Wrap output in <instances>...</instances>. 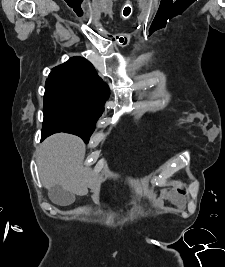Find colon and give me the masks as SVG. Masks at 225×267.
Instances as JSON below:
<instances>
[{
	"label": "colon",
	"mask_w": 225,
	"mask_h": 267,
	"mask_svg": "<svg viewBox=\"0 0 225 267\" xmlns=\"http://www.w3.org/2000/svg\"><path fill=\"white\" fill-rule=\"evenodd\" d=\"M125 8H126L125 14H129L130 15V13H131V6L130 5H126Z\"/></svg>",
	"instance_id": "colon-1"
}]
</instances>
